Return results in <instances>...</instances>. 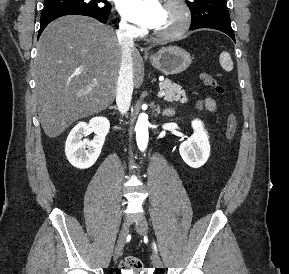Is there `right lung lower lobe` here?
Masks as SVG:
<instances>
[{
    "label": "right lung lower lobe",
    "instance_id": "obj_1",
    "mask_svg": "<svg viewBox=\"0 0 289 274\" xmlns=\"http://www.w3.org/2000/svg\"><path fill=\"white\" fill-rule=\"evenodd\" d=\"M74 14L89 16V17L99 20L102 23H105L108 20V16H109V15H97V14L80 11V10H64V11H57V12H52V13H48L45 15H41L40 30L38 33V37L41 35L44 28L53 20L59 17L65 16V15H74Z\"/></svg>",
    "mask_w": 289,
    "mask_h": 274
}]
</instances>
